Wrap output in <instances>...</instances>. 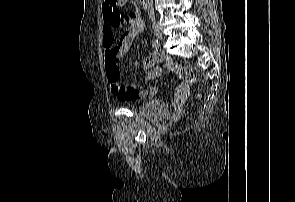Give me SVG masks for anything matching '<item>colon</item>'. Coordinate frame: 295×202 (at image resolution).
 I'll return each instance as SVG.
<instances>
[{
    "label": "colon",
    "mask_w": 295,
    "mask_h": 202,
    "mask_svg": "<svg viewBox=\"0 0 295 202\" xmlns=\"http://www.w3.org/2000/svg\"><path fill=\"white\" fill-rule=\"evenodd\" d=\"M129 2H131V0H105L106 10L109 13L118 16L121 26L128 24L130 18L128 15L121 13L119 7ZM169 68L173 73L178 75L181 80L186 81V83L196 82L195 73L190 68L176 63H170Z\"/></svg>",
    "instance_id": "1"
}]
</instances>
